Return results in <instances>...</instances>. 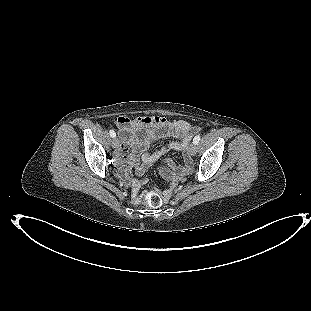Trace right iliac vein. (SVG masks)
Returning a JSON list of instances; mask_svg holds the SVG:
<instances>
[{"mask_svg":"<svg viewBox=\"0 0 311 311\" xmlns=\"http://www.w3.org/2000/svg\"><path fill=\"white\" fill-rule=\"evenodd\" d=\"M112 147L114 148V149H117L118 147H119V140H118V138H114L113 140H112Z\"/></svg>","mask_w":311,"mask_h":311,"instance_id":"obj_1","label":"right iliac vein"}]
</instances>
